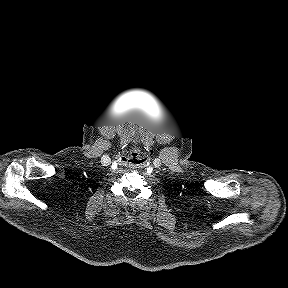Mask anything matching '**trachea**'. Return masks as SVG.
Wrapping results in <instances>:
<instances>
[{
  "mask_svg": "<svg viewBox=\"0 0 288 288\" xmlns=\"http://www.w3.org/2000/svg\"><path fill=\"white\" fill-rule=\"evenodd\" d=\"M128 162L131 165H139V164H141L143 162L141 153L139 151H132L128 155Z\"/></svg>",
  "mask_w": 288,
  "mask_h": 288,
  "instance_id": "trachea-1",
  "label": "trachea"
}]
</instances>
